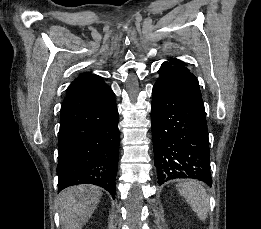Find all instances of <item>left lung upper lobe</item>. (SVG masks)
Returning <instances> with one entry per match:
<instances>
[{"label":"left lung upper lobe","instance_id":"left-lung-upper-lobe-1","mask_svg":"<svg viewBox=\"0 0 261 229\" xmlns=\"http://www.w3.org/2000/svg\"><path fill=\"white\" fill-rule=\"evenodd\" d=\"M169 63L178 65V66H185L186 64L178 59H169Z\"/></svg>","mask_w":261,"mask_h":229}]
</instances>
